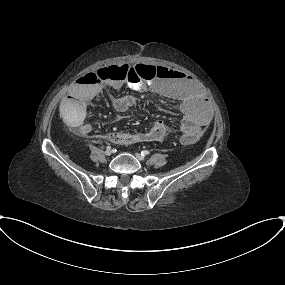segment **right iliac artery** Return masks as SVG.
Wrapping results in <instances>:
<instances>
[{
    "label": "right iliac artery",
    "instance_id": "82829eb1",
    "mask_svg": "<svg viewBox=\"0 0 285 285\" xmlns=\"http://www.w3.org/2000/svg\"><path fill=\"white\" fill-rule=\"evenodd\" d=\"M106 148H107L108 150H110V149H111V146H107Z\"/></svg>",
    "mask_w": 285,
    "mask_h": 285
}]
</instances>
